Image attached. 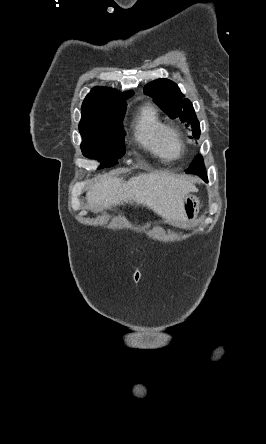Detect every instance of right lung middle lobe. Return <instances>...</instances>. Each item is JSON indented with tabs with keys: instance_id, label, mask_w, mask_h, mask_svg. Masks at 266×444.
<instances>
[{
	"instance_id": "dd1d6c3e",
	"label": "right lung middle lobe",
	"mask_w": 266,
	"mask_h": 444,
	"mask_svg": "<svg viewBox=\"0 0 266 444\" xmlns=\"http://www.w3.org/2000/svg\"><path fill=\"white\" fill-rule=\"evenodd\" d=\"M126 102H110L82 110L79 131L85 157L100 159L101 167H111L125 153L122 120Z\"/></svg>"
}]
</instances>
